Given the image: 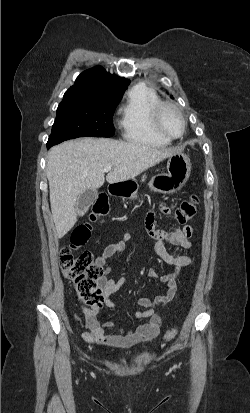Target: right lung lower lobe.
<instances>
[{"instance_id": "98d812e1", "label": "right lung lower lobe", "mask_w": 250, "mask_h": 413, "mask_svg": "<svg viewBox=\"0 0 250 413\" xmlns=\"http://www.w3.org/2000/svg\"><path fill=\"white\" fill-rule=\"evenodd\" d=\"M52 146L50 145V146H47V149H49V148H51Z\"/></svg>"}]
</instances>
